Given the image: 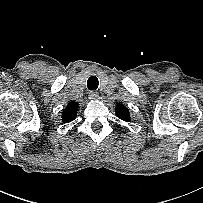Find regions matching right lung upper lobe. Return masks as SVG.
Instances as JSON below:
<instances>
[{"mask_svg": "<svg viewBox=\"0 0 203 203\" xmlns=\"http://www.w3.org/2000/svg\"><path fill=\"white\" fill-rule=\"evenodd\" d=\"M78 105L74 102H70L62 112V121L69 123L76 118Z\"/></svg>", "mask_w": 203, "mask_h": 203, "instance_id": "obj_1", "label": "right lung upper lobe"}]
</instances>
